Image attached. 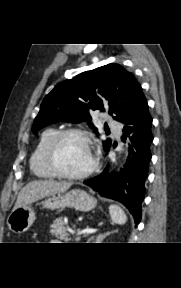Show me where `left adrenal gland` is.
I'll return each mask as SVG.
<instances>
[{
	"mask_svg": "<svg viewBox=\"0 0 181 288\" xmlns=\"http://www.w3.org/2000/svg\"><path fill=\"white\" fill-rule=\"evenodd\" d=\"M111 233H113V232H107V233H105V234H100L98 237H96V243H102V241H103V239L105 238V237H107L108 235H110Z\"/></svg>",
	"mask_w": 181,
	"mask_h": 288,
	"instance_id": "left-adrenal-gland-1",
	"label": "left adrenal gland"
}]
</instances>
